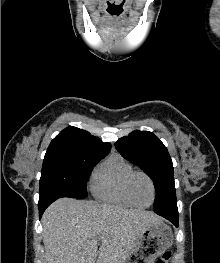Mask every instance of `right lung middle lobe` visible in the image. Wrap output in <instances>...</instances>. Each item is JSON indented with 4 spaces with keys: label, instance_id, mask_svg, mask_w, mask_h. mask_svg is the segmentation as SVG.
Masks as SVG:
<instances>
[{
    "label": "right lung middle lobe",
    "instance_id": "dd1d6c3e",
    "mask_svg": "<svg viewBox=\"0 0 220 263\" xmlns=\"http://www.w3.org/2000/svg\"><path fill=\"white\" fill-rule=\"evenodd\" d=\"M83 151H47L40 178L39 203L60 197H87V180L105 157Z\"/></svg>",
    "mask_w": 220,
    "mask_h": 263
}]
</instances>
